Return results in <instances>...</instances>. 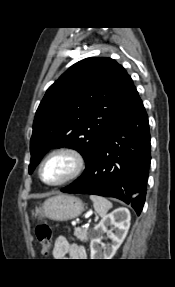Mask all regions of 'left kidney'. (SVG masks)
I'll return each mask as SVG.
<instances>
[{"label":"left kidney","instance_id":"obj_1","mask_svg":"<svg viewBox=\"0 0 175 287\" xmlns=\"http://www.w3.org/2000/svg\"><path fill=\"white\" fill-rule=\"evenodd\" d=\"M130 212L126 208H118L107 214L92 231L90 242L91 259H112L124 241L130 227ZM115 229V233L108 231L107 227ZM112 241L109 245L102 244L104 233Z\"/></svg>","mask_w":175,"mask_h":287}]
</instances>
